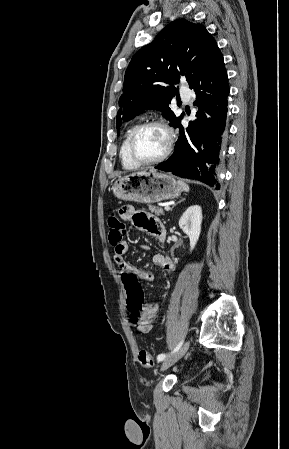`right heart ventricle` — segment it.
I'll return each instance as SVG.
<instances>
[{"label": "right heart ventricle", "instance_id": "1", "mask_svg": "<svg viewBox=\"0 0 289 449\" xmlns=\"http://www.w3.org/2000/svg\"><path fill=\"white\" fill-rule=\"evenodd\" d=\"M135 126H131L127 129L124 139L120 147V159L123 167L128 170L137 169L139 167L130 157L129 154V138Z\"/></svg>", "mask_w": 289, "mask_h": 449}]
</instances>
